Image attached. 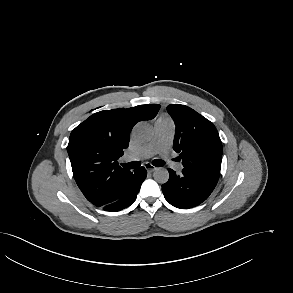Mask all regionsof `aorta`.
I'll return each mask as SVG.
<instances>
[{
    "instance_id": "762f6f07",
    "label": "aorta",
    "mask_w": 293,
    "mask_h": 293,
    "mask_svg": "<svg viewBox=\"0 0 293 293\" xmlns=\"http://www.w3.org/2000/svg\"><path fill=\"white\" fill-rule=\"evenodd\" d=\"M132 136L137 142H147L153 136V128L147 122H139L133 128ZM153 177L156 182L164 184L169 179V172L165 168H158L154 171Z\"/></svg>"
}]
</instances>
